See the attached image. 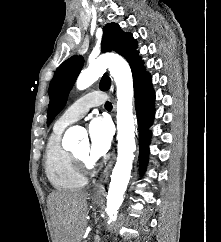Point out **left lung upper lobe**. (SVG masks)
Returning <instances> with one entry per match:
<instances>
[{
  "mask_svg": "<svg viewBox=\"0 0 221 242\" xmlns=\"http://www.w3.org/2000/svg\"><path fill=\"white\" fill-rule=\"evenodd\" d=\"M101 48L102 52L115 51L123 56L129 62L132 73L144 67L143 61L136 51L137 43L132 34L122 31L116 23L107 24L103 28ZM83 62L81 56H73L64 61L56 70L49 86L48 125L64 107L68 94L81 71ZM110 83V78L103 76L100 89L108 90Z\"/></svg>",
  "mask_w": 221,
  "mask_h": 242,
  "instance_id": "1",
  "label": "left lung upper lobe"
}]
</instances>
